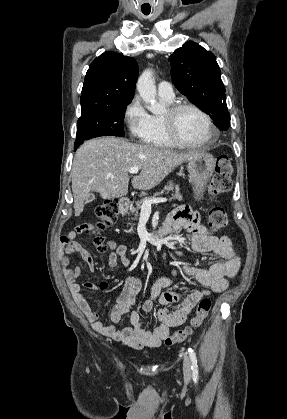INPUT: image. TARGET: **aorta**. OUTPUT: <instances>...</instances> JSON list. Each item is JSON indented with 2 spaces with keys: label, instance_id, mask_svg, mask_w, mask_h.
Here are the masks:
<instances>
[{
  "label": "aorta",
  "instance_id": "762f6f07",
  "mask_svg": "<svg viewBox=\"0 0 287 419\" xmlns=\"http://www.w3.org/2000/svg\"><path fill=\"white\" fill-rule=\"evenodd\" d=\"M136 87L140 97L148 104V109L154 114L160 113L163 107L157 102V91L151 69H146L142 72L138 78Z\"/></svg>",
  "mask_w": 287,
  "mask_h": 419
}]
</instances>
